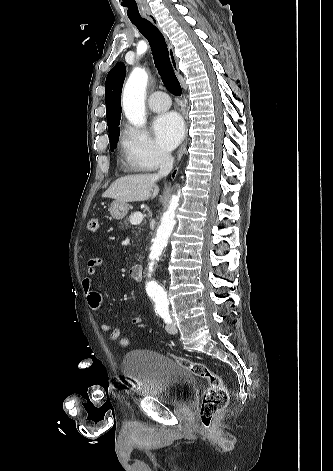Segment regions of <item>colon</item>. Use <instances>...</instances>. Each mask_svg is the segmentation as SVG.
Segmentation results:
<instances>
[{"label":"colon","mask_w":333,"mask_h":471,"mask_svg":"<svg viewBox=\"0 0 333 471\" xmlns=\"http://www.w3.org/2000/svg\"><path fill=\"white\" fill-rule=\"evenodd\" d=\"M87 227L91 232L97 231L99 228V220L97 218L90 219ZM116 342L123 348L128 347L130 344L129 340L122 336H120ZM172 358L181 367L190 371L196 377L208 381V388L204 393L200 408V421L204 431L209 432L212 429L216 416L228 405V391L221 377L211 371L205 364L194 362L181 356L173 355Z\"/></svg>","instance_id":"5ec220e1"}]
</instances>
